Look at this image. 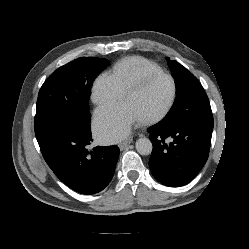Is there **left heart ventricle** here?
Masks as SVG:
<instances>
[{
  "label": "left heart ventricle",
  "instance_id": "obj_1",
  "mask_svg": "<svg viewBox=\"0 0 249 249\" xmlns=\"http://www.w3.org/2000/svg\"><path fill=\"white\" fill-rule=\"evenodd\" d=\"M172 92L171 82L164 77L149 82L143 89L124 98L140 118L151 116L167 104Z\"/></svg>",
  "mask_w": 249,
  "mask_h": 249
}]
</instances>
